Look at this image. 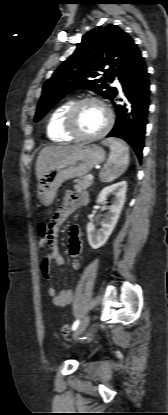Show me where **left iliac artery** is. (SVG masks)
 Instances as JSON below:
<instances>
[{
    "instance_id": "1",
    "label": "left iliac artery",
    "mask_w": 168,
    "mask_h": 415,
    "mask_svg": "<svg viewBox=\"0 0 168 415\" xmlns=\"http://www.w3.org/2000/svg\"><path fill=\"white\" fill-rule=\"evenodd\" d=\"M79 323H80V320H79V319H78V320H76V321L73 323V325H72V330H73V331L77 329V327H78Z\"/></svg>"
}]
</instances>
